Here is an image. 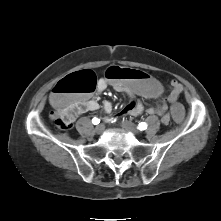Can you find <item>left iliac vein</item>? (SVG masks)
<instances>
[{
  "mask_svg": "<svg viewBox=\"0 0 221 221\" xmlns=\"http://www.w3.org/2000/svg\"><path fill=\"white\" fill-rule=\"evenodd\" d=\"M121 127L123 129H125L126 131L132 132L134 134H139L140 131L138 130V128L131 122L129 121H123L121 122Z\"/></svg>",
  "mask_w": 221,
  "mask_h": 221,
  "instance_id": "1",
  "label": "left iliac vein"
}]
</instances>
